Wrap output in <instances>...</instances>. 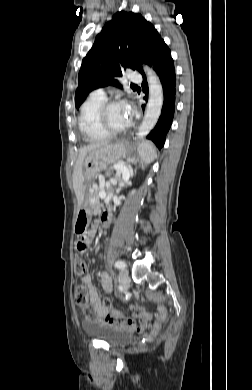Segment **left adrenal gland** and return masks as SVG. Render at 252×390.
<instances>
[{
	"label": "left adrenal gland",
	"mask_w": 252,
	"mask_h": 390,
	"mask_svg": "<svg viewBox=\"0 0 252 390\" xmlns=\"http://www.w3.org/2000/svg\"><path fill=\"white\" fill-rule=\"evenodd\" d=\"M131 176H133V171H131ZM124 185H125V181L124 180H119V186L123 187Z\"/></svg>",
	"instance_id": "obj_1"
}]
</instances>
